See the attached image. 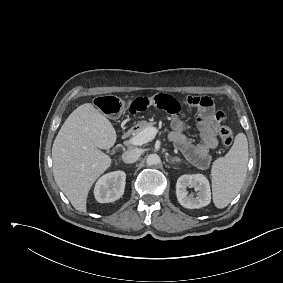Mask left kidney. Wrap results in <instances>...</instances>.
Masks as SVG:
<instances>
[{
  "mask_svg": "<svg viewBox=\"0 0 283 283\" xmlns=\"http://www.w3.org/2000/svg\"><path fill=\"white\" fill-rule=\"evenodd\" d=\"M198 191L197 196L188 195L187 188ZM176 196L179 203L189 209L207 206L211 201L208 179L202 174L182 175L176 183Z\"/></svg>",
  "mask_w": 283,
  "mask_h": 283,
  "instance_id": "left-kidney-1",
  "label": "left kidney"
}]
</instances>
